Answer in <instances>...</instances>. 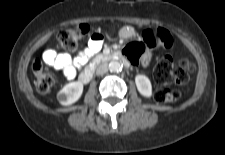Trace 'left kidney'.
Wrapping results in <instances>:
<instances>
[{
    "label": "left kidney",
    "mask_w": 225,
    "mask_h": 155,
    "mask_svg": "<svg viewBox=\"0 0 225 155\" xmlns=\"http://www.w3.org/2000/svg\"><path fill=\"white\" fill-rule=\"evenodd\" d=\"M135 83L139 93L144 97H151L152 85L148 77L145 75H137L135 77Z\"/></svg>",
    "instance_id": "left-kidney-1"
}]
</instances>
